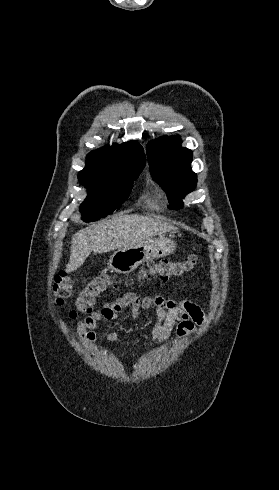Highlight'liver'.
<instances>
[{"label":"liver","mask_w":279,"mask_h":490,"mask_svg":"<svg viewBox=\"0 0 279 490\" xmlns=\"http://www.w3.org/2000/svg\"><path fill=\"white\" fill-rule=\"evenodd\" d=\"M176 230L174 226L160 218L146 216H115L112 220L98 222L89 228L79 230L72 238L70 260L65 272H75L91 252L105 254L119 248H132L153 236H162Z\"/></svg>","instance_id":"liver-1"}]
</instances>
